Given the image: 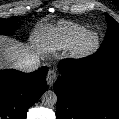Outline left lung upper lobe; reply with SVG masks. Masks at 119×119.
<instances>
[{
    "label": "left lung upper lobe",
    "mask_w": 119,
    "mask_h": 119,
    "mask_svg": "<svg viewBox=\"0 0 119 119\" xmlns=\"http://www.w3.org/2000/svg\"><path fill=\"white\" fill-rule=\"evenodd\" d=\"M105 16L108 29L99 50L105 55L119 53V24L107 13H105Z\"/></svg>",
    "instance_id": "obj_1"
}]
</instances>
